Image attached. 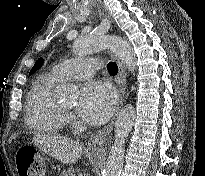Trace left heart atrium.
<instances>
[{
	"label": "left heart atrium",
	"instance_id": "1",
	"mask_svg": "<svg viewBox=\"0 0 205 176\" xmlns=\"http://www.w3.org/2000/svg\"><path fill=\"white\" fill-rule=\"evenodd\" d=\"M115 103L116 94L111 85L90 81L81 89L77 110L86 121L101 124L109 118Z\"/></svg>",
	"mask_w": 205,
	"mask_h": 176
}]
</instances>
